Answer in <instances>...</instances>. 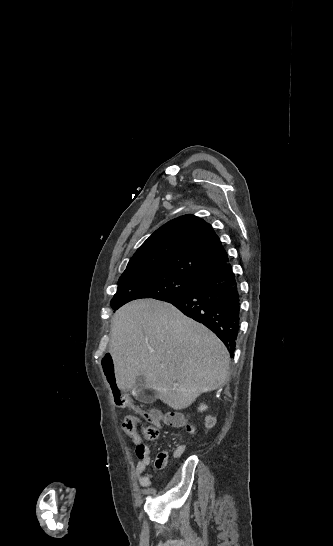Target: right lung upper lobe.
I'll list each match as a JSON object with an SVG mask.
<instances>
[{
	"instance_id": "1",
	"label": "right lung upper lobe",
	"mask_w": 333,
	"mask_h": 546,
	"mask_svg": "<svg viewBox=\"0 0 333 546\" xmlns=\"http://www.w3.org/2000/svg\"><path fill=\"white\" fill-rule=\"evenodd\" d=\"M228 260L212 226L194 215H184L156 230L138 248L122 275L171 272L201 279Z\"/></svg>"
}]
</instances>
